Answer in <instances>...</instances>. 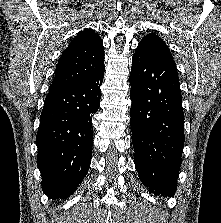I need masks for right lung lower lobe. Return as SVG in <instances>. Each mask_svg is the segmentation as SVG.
I'll return each instance as SVG.
<instances>
[{
    "label": "right lung lower lobe",
    "mask_w": 221,
    "mask_h": 223,
    "mask_svg": "<svg viewBox=\"0 0 221 223\" xmlns=\"http://www.w3.org/2000/svg\"><path fill=\"white\" fill-rule=\"evenodd\" d=\"M104 68L86 80L51 91L44 101L36 141L44 193L67 198L86 176L93 144L91 119L99 109Z\"/></svg>",
    "instance_id": "right-lung-lower-lobe-1"
}]
</instances>
